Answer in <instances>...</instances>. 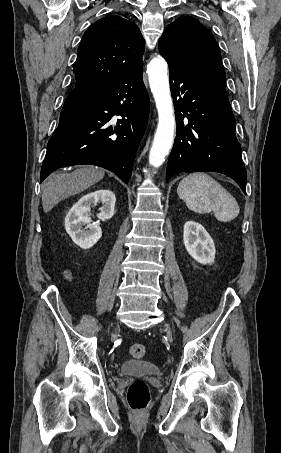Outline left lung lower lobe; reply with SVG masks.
<instances>
[{
    "instance_id": "1",
    "label": "left lung lower lobe",
    "mask_w": 281,
    "mask_h": 453,
    "mask_svg": "<svg viewBox=\"0 0 281 453\" xmlns=\"http://www.w3.org/2000/svg\"><path fill=\"white\" fill-rule=\"evenodd\" d=\"M167 62L177 131L166 181L180 172H219L235 180L246 194L247 174L235 135L225 75L189 71Z\"/></svg>"
}]
</instances>
